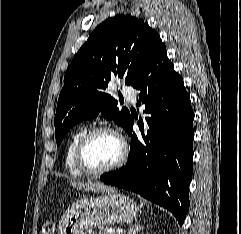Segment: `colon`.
Masks as SVG:
<instances>
[{"mask_svg":"<svg viewBox=\"0 0 241 234\" xmlns=\"http://www.w3.org/2000/svg\"><path fill=\"white\" fill-rule=\"evenodd\" d=\"M54 226L51 222H46L43 226V233L44 234H53Z\"/></svg>","mask_w":241,"mask_h":234,"instance_id":"5ec220e1","label":"colon"}]
</instances>
